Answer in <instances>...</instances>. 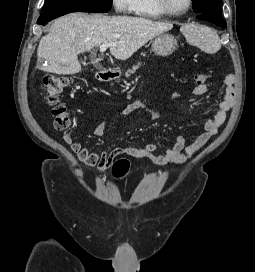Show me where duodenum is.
Here are the masks:
<instances>
[{"label":"duodenum","instance_id":"410a0bca","mask_svg":"<svg viewBox=\"0 0 255 272\" xmlns=\"http://www.w3.org/2000/svg\"><path fill=\"white\" fill-rule=\"evenodd\" d=\"M118 76L117 72L112 69L100 68L96 72V78L102 83L110 82L116 79Z\"/></svg>","mask_w":255,"mask_h":272}]
</instances>
